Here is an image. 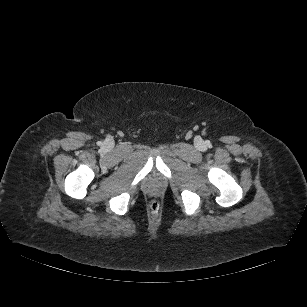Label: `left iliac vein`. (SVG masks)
I'll return each mask as SVG.
<instances>
[{
	"label": "left iliac vein",
	"mask_w": 307,
	"mask_h": 307,
	"mask_svg": "<svg viewBox=\"0 0 307 307\" xmlns=\"http://www.w3.org/2000/svg\"><path fill=\"white\" fill-rule=\"evenodd\" d=\"M196 145L199 149L203 150L205 148V145L201 139L197 140Z\"/></svg>",
	"instance_id": "1"
}]
</instances>
